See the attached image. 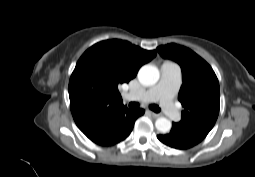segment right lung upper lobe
Segmentation results:
<instances>
[{
  "label": "right lung upper lobe",
  "instance_id": "right-lung-upper-lobe-1",
  "mask_svg": "<svg viewBox=\"0 0 255 177\" xmlns=\"http://www.w3.org/2000/svg\"><path fill=\"white\" fill-rule=\"evenodd\" d=\"M156 51L113 39L90 47L69 81L70 108L77 126L124 107L119 87L128 83Z\"/></svg>",
  "mask_w": 255,
  "mask_h": 177
}]
</instances>
